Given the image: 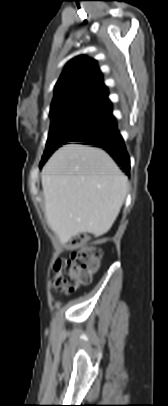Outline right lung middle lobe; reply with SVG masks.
Here are the masks:
<instances>
[{
  "mask_svg": "<svg viewBox=\"0 0 168 406\" xmlns=\"http://www.w3.org/2000/svg\"><path fill=\"white\" fill-rule=\"evenodd\" d=\"M51 126L40 167L59 147L77 141L111 124V106L79 105L50 113Z\"/></svg>",
  "mask_w": 168,
  "mask_h": 406,
  "instance_id": "right-lung-middle-lobe-1",
  "label": "right lung middle lobe"
}]
</instances>
